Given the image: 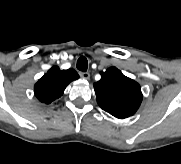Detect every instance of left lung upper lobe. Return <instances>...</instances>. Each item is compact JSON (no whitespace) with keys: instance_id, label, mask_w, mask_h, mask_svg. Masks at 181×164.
Here are the masks:
<instances>
[{"instance_id":"5c2ea615","label":"left lung upper lobe","mask_w":181,"mask_h":164,"mask_svg":"<svg viewBox=\"0 0 181 164\" xmlns=\"http://www.w3.org/2000/svg\"><path fill=\"white\" fill-rule=\"evenodd\" d=\"M100 74L101 79L94 83L98 105L119 119L134 115L142 102L140 85L116 67Z\"/></svg>"}]
</instances>
